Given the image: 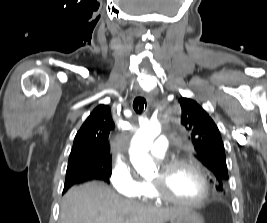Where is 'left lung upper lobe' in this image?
<instances>
[{"label":"left lung upper lobe","instance_id":"1","mask_svg":"<svg viewBox=\"0 0 267 223\" xmlns=\"http://www.w3.org/2000/svg\"><path fill=\"white\" fill-rule=\"evenodd\" d=\"M182 109L181 124L189 132L197 158L214 176L216 190L224 192L228 171L220 132L206 111L194 100L179 99Z\"/></svg>","mask_w":267,"mask_h":223}]
</instances>
